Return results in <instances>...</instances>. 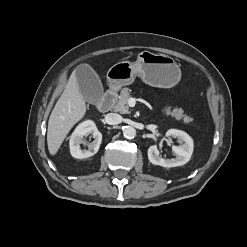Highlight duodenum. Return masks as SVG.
Segmentation results:
<instances>
[{
    "label": "duodenum",
    "mask_w": 247,
    "mask_h": 247,
    "mask_svg": "<svg viewBox=\"0 0 247 247\" xmlns=\"http://www.w3.org/2000/svg\"><path fill=\"white\" fill-rule=\"evenodd\" d=\"M116 97H117L116 91L113 89H109L108 91H106V93L103 95V97L97 104V109L100 112H107L114 104Z\"/></svg>",
    "instance_id": "410a0bca"
}]
</instances>
